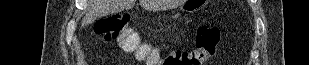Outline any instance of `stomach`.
Masks as SVG:
<instances>
[{
  "label": "stomach",
  "instance_id": "0dacf381",
  "mask_svg": "<svg viewBox=\"0 0 309 65\" xmlns=\"http://www.w3.org/2000/svg\"><path fill=\"white\" fill-rule=\"evenodd\" d=\"M199 2H204V1H196V0H189L187 1V3L185 4V6L183 7V9L185 11H189V10H195L196 8H194Z\"/></svg>",
  "mask_w": 309,
  "mask_h": 65
}]
</instances>
